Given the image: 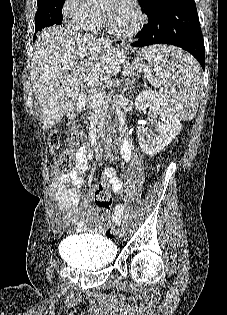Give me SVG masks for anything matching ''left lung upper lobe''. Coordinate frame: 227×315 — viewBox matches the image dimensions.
I'll list each match as a JSON object with an SVG mask.
<instances>
[{"instance_id": "left-lung-upper-lobe-1", "label": "left lung upper lobe", "mask_w": 227, "mask_h": 315, "mask_svg": "<svg viewBox=\"0 0 227 315\" xmlns=\"http://www.w3.org/2000/svg\"><path fill=\"white\" fill-rule=\"evenodd\" d=\"M173 0H139L140 7L147 15L154 12L161 5Z\"/></svg>"}]
</instances>
